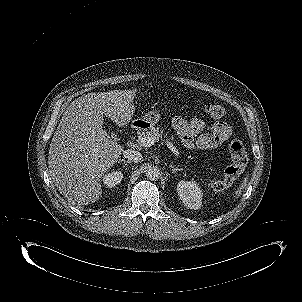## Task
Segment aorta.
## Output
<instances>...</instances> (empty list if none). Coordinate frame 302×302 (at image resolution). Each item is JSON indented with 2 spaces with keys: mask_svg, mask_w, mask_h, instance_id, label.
I'll list each match as a JSON object with an SVG mask.
<instances>
[{
  "mask_svg": "<svg viewBox=\"0 0 302 302\" xmlns=\"http://www.w3.org/2000/svg\"><path fill=\"white\" fill-rule=\"evenodd\" d=\"M161 175L160 169L157 166H150L146 170V176L150 180H157Z\"/></svg>",
  "mask_w": 302,
  "mask_h": 302,
  "instance_id": "762f6f07",
  "label": "aorta"
}]
</instances>
